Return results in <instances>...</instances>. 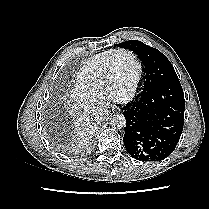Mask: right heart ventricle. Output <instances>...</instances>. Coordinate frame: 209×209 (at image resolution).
Returning a JSON list of instances; mask_svg holds the SVG:
<instances>
[{"instance_id":"obj_1","label":"right heart ventricle","mask_w":209,"mask_h":209,"mask_svg":"<svg viewBox=\"0 0 209 209\" xmlns=\"http://www.w3.org/2000/svg\"><path fill=\"white\" fill-rule=\"evenodd\" d=\"M114 50L99 53L84 62L76 75L77 86L97 96L103 95V75Z\"/></svg>"}]
</instances>
